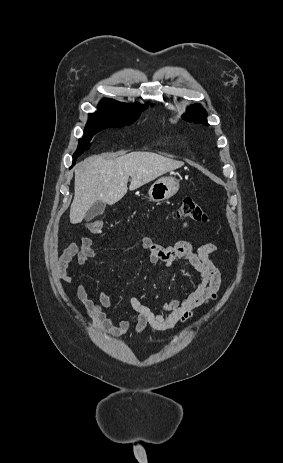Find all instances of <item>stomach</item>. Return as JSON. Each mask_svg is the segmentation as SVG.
Wrapping results in <instances>:
<instances>
[{
	"label": "stomach",
	"instance_id": "1",
	"mask_svg": "<svg viewBox=\"0 0 283 463\" xmlns=\"http://www.w3.org/2000/svg\"><path fill=\"white\" fill-rule=\"evenodd\" d=\"M179 190V181L174 177H163L154 182L149 191L153 202H162L174 196Z\"/></svg>",
	"mask_w": 283,
	"mask_h": 463
}]
</instances>
